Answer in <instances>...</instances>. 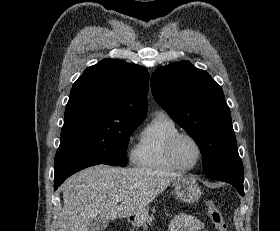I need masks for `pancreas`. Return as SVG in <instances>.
I'll list each match as a JSON object with an SVG mask.
<instances>
[{
    "label": "pancreas",
    "mask_w": 280,
    "mask_h": 231,
    "mask_svg": "<svg viewBox=\"0 0 280 231\" xmlns=\"http://www.w3.org/2000/svg\"><path fill=\"white\" fill-rule=\"evenodd\" d=\"M152 211H156V209H152ZM154 217H153V213L152 215H149L148 219H147V223H150L151 225V221H153ZM144 227H148V225H144Z\"/></svg>",
    "instance_id": "1"
}]
</instances>
